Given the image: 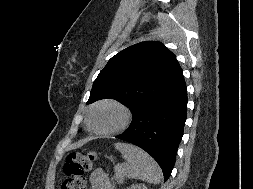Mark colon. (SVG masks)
I'll list each match as a JSON object with an SVG mask.
<instances>
[{
  "instance_id": "colon-1",
  "label": "colon",
  "mask_w": 253,
  "mask_h": 189,
  "mask_svg": "<svg viewBox=\"0 0 253 189\" xmlns=\"http://www.w3.org/2000/svg\"><path fill=\"white\" fill-rule=\"evenodd\" d=\"M94 155L74 152L68 155L63 166L61 189H86L85 175L90 171Z\"/></svg>"
}]
</instances>
